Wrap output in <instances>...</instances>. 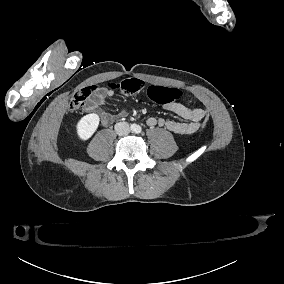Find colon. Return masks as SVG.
<instances>
[{
	"instance_id": "1",
	"label": "colon",
	"mask_w": 284,
	"mask_h": 284,
	"mask_svg": "<svg viewBox=\"0 0 284 284\" xmlns=\"http://www.w3.org/2000/svg\"><path fill=\"white\" fill-rule=\"evenodd\" d=\"M106 86L110 89H123L125 93H134L141 91L144 87V82L137 79H130L124 81L122 84L118 85L116 83H107ZM99 88L98 85H92L89 87H85L77 92L74 93L71 101H70V110L72 112H77L81 106L83 105L85 99L89 97L94 91ZM184 91L180 88L176 87H167L162 88L158 86H151L147 90V97L151 101H157L159 103H166L170 101H179L183 98ZM210 114H205L204 116V123H202V130H207V123L210 121Z\"/></svg>"
}]
</instances>
